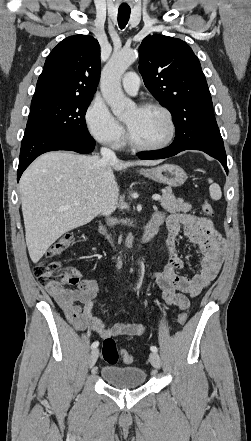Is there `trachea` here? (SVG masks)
<instances>
[{
  "label": "trachea",
  "instance_id": "obj_1",
  "mask_svg": "<svg viewBox=\"0 0 251 441\" xmlns=\"http://www.w3.org/2000/svg\"><path fill=\"white\" fill-rule=\"evenodd\" d=\"M130 18V8H119L118 24L120 29H124Z\"/></svg>",
  "mask_w": 251,
  "mask_h": 441
}]
</instances>
